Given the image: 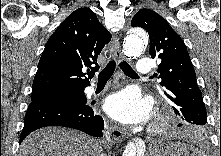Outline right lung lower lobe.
<instances>
[{
    "mask_svg": "<svg viewBox=\"0 0 221 156\" xmlns=\"http://www.w3.org/2000/svg\"><path fill=\"white\" fill-rule=\"evenodd\" d=\"M95 102L83 104L31 102L25 116L20 143L32 131L46 126H63L102 137L103 118L94 111Z\"/></svg>",
    "mask_w": 221,
    "mask_h": 156,
    "instance_id": "right-lung-lower-lobe-1",
    "label": "right lung lower lobe"
}]
</instances>
